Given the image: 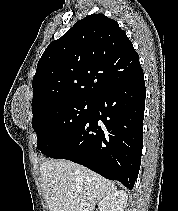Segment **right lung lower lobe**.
<instances>
[{
  "instance_id": "obj_1",
  "label": "right lung lower lobe",
  "mask_w": 178,
  "mask_h": 211,
  "mask_svg": "<svg viewBox=\"0 0 178 211\" xmlns=\"http://www.w3.org/2000/svg\"><path fill=\"white\" fill-rule=\"evenodd\" d=\"M145 94L141 68L96 96L84 123L46 156L79 163L131 190L141 163Z\"/></svg>"
}]
</instances>
